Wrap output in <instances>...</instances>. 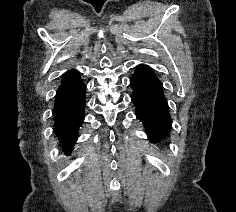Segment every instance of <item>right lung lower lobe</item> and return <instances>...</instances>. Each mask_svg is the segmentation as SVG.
<instances>
[{"label": "right lung lower lobe", "mask_w": 236, "mask_h": 212, "mask_svg": "<svg viewBox=\"0 0 236 212\" xmlns=\"http://www.w3.org/2000/svg\"><path fill=\"white\" fill-rule=\"evenodd\" d=\"M86 86L76 69L61 76L53 108L54 132L60 146L69 152L78 138V130L84 119ZM70 153V152H69Z\"/></svg>", "instance_id": "obj_1"}]
</instances>
